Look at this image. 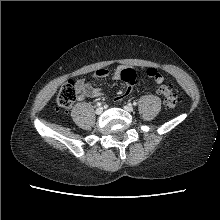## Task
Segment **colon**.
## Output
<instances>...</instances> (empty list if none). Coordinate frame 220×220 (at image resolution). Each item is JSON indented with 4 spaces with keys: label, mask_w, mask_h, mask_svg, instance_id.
<instances>
[{
    "label": "colon",
    "mask_w": 220,
    "mask_h": 220,
    "mask_svg": "<svg viewBox=\"0 0 220 220\" xmlns=\"http://www.w3.org/2000/svg\"><path fill=\"white\" fill-rule=\"evenodd\" d=\"M146 74L149 78L159 82L158 92L164 97V103L168 108H174L178 103V98L172 91V88L168 85L161 84L163 82V76L153 68L147 69ZM120 79L125 84L123 91L124 95H127L132 90V87L137 79V73L133 69H124L121 71ZM78 89L73 80L67 81L60 89L57 96V105L62 109L70 108L77 99Z\"/></svg>",
    "instance_id": "obj_1"
}]
</instances>
